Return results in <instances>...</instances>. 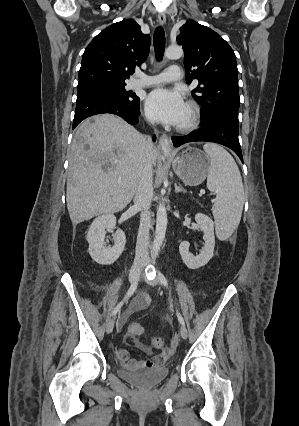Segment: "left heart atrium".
<instances>
[{"instance_id": "39dd6f15", "label": "left heart atrium", "mask_w": 299, "mask_h": 426, "mask_svg": "<svg viewBox=\"0 0 299 426\" xmlns=\"http://www.w3.org/2000/svg\"><path fill=\"white\" fill-rule=\"evenodd\" d=\"M145 109L153 120L169 125H180L184 120L187 105L179 92L158 88L147 96Z\"/></svg>"}]
</instances>
